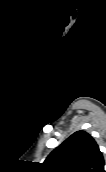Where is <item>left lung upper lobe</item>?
<instances>
[{
	"instance_id": "1",
	"label": "left lung upper lobe",
	"mask_w": 106,
	"mask_h": 172,
	"mask_svg": "<svg viewBox=\"0 0 106 172\" xmlns=\"http://www.w3.org/2000/svg\"><path fill=\"white\" fill-rule=\"evenodd\" d=\"M43 167L47 172H105L104 158L97 143L82 130L55 148Z\"/></svg>"
}]
</instances>
